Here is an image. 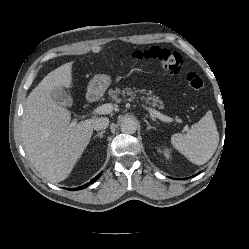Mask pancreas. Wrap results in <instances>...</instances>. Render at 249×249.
Listing matches in <instances>:
<instances>
[{
	"label": "pancreas",
	"instance_id": "obj_1",
	"mask_svg": "<svg viewBox=\"0 0 249 249\" xmlns=\"http://www.w3.org/2000/svg\"><path fill=\"white\" fill-rule=\"evenodd\" d=\"M144 90H141L140 92L142 93ZM109 96L111 97V99L117 103H119L121 101V99L119 98V94H121L123 97L125 95H134V93H132V91L130 90V88H126L125 90L121 91L120 89L116 88L115 90L111 89L109 90ZM147 95L146 98H143L146 103L152 104L153 107H159L161 108L163 105V102L156 97L155 95H152L151 92L145 93ZM133 98H130L129 101H132Z\"/></svg>",
	"mask_w": 249,
	"mask_h": 249
}]
</instances>
